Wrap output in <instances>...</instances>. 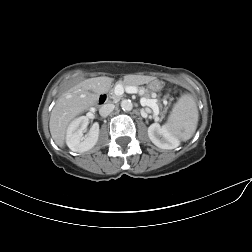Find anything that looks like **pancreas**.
<instances>
[{
  "instance_id": "pancreas-1",
  "label": "pancreas",
  "mask_w": 252,
  "mask_h": 252,
  "mask_svg": "<svg viewBox=\"0 0 252 252\" xmlns=\"http://www.w3.org/2000/svg\"><path fill=\"white\" fill-rule=\"evenodd\" d=\"M121 84H124V83H118L117 85H121ZM126 85V84H125ZM144 88V87H143ZM145 89V88H144ZM111 98L115 101V102H117V101H119L120 99H121V96H119V95H117V94H115V91L112 89L111 90Z\"/></svg>"
}]
</instances>
